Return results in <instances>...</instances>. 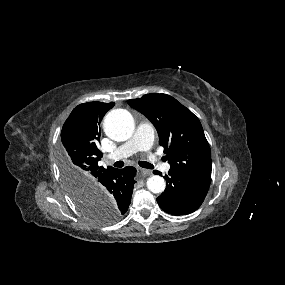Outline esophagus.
Masks as SVG:
<instances>
[{"instance_id":"34e87169","label":"esophagus","mask_w":285,"mask_h":285,"mask_svg":"<svg viewBox=\"0 0 285 285\" xmlns=\"http://www.w3.org/2000/svg\"><path fill=\"white\" fill-rule=\"evenodd\" d=\"M140 173H141L142 176H149V175L152 174V171L147 170V169H141Z\"/></svg>"}]
</instances>
